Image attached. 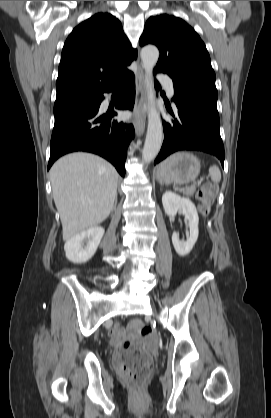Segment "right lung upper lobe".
I'll return each mask as SVG.
<instances>
[{"mask_svg": "<svg viewBox=\"0 0 271 418\" xmlns=\"http://www.w3.org/2000/svg\"><path fill=\"white\" fill-rule=\"evenodd\" d=\"M136 57L120 21L109 13L95 14L74 28L64 44L55 103L98 98Z\"/></svg>", "mask_w": 271, "mask_h": 418, "instance_id": "obj_1", "label": "right lung upper lobe"}]
</instances>
